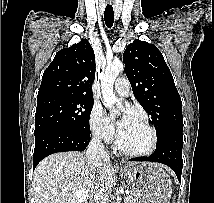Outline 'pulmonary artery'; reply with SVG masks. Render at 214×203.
<instances>
[{
    "mask_svg": "<svg viewBox=\"0 0 214 203\" xmlns=\"http://www.w3.org/2000/svg\"><path fill=\"white\" fill-rule=\"evenodd\" d=\"M114 88L116 92L123 97L129 95L130 85L129 81L125 77L117 78L114 83Z\"/></svg>",
    "mask_w": 214,
    "mask_h": 203,
    "instance_id": "pulmonary-artery-1",
    "label": "pulmonary artery"
}]
</instances>
